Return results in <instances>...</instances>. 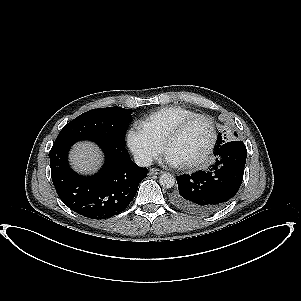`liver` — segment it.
Wrapping results in <instances>:
<instances>
[{
	"mask_svg": "<svg viewBox=\"0 0 301 301\" xmlns=\"http://www.w3.org/2000/svg\"><path fill=\"white\" fill-rule=\"evenodd\" d=\"M70 161L73 168L78 172H94L102 161L101 153L93 143H77L71 153Z\"/></svg>",
	"mask_w": 301,
	"mask_h": 301,
	"instance_id": "1",
	"label": "liver"
}]
</instances>
